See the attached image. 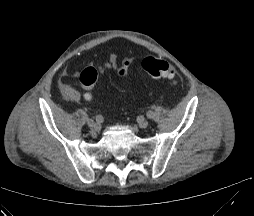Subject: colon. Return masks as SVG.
Returning a JSON list of instances; mask_svg holds the SVG:
<instances>
[{"label":"colon","mask_w":254,"mask_h":216,"mask_svg":"<svg viewBox=\"0 0 254 216\" xmlns=\"http://www.w3.org/2000/svg\"><path fill=\"white\" fill-rule=\"evenodd\" d=\"M144 71L154 79H167L173 85L180 83V77L177 71L169 62L154 57H147L142 62ZM102 72L101 68L89 67L84 69L80 74V82L86 89H91L98 81L99 75Z\"/></svg>","instance_id":"obj_1"}]
</instances>
